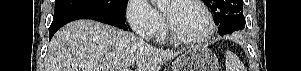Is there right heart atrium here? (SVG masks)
Here are the masks:
<instances>
[{"instance_id":"1","label":"right heart atrium","mask_w":301,"mask_h":71,"mask_svg":"<svg viewBox=\"0 0 301 71\" xmlns=\"http://www.w3.org/2000/svg\"><path fill=\"white\" fill-rule=\"evenodd\" d=\"M126 16L134 32L145 39L154 37L162 26V16L147 0H130Z\"/></svg>"}]
</instances>
